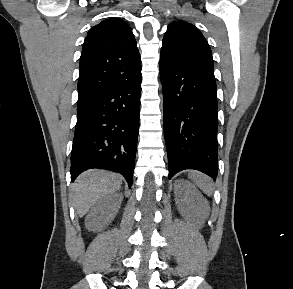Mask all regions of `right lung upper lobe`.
<instances>
[{"instance_id":"right-lung-upper-lobe-1","label":"right lung upper lobe","mask_w":293,"mask_h":289,"mask_svg":"<svg viewBox=\"0 0 293 289\" xmlns=\"http://www.w3.org/2000/svg\"><path fill=\"white\" fill-rule=\"evenodd\" d=\"M140 76V54L132 29L120 19L104 20L90 29L83 44L77 105Z\"/></svg>"}]
</instances>
